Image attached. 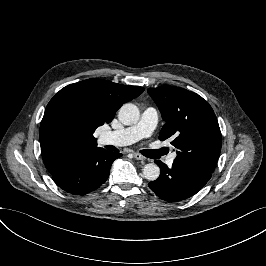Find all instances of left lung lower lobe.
I'll return each mask as SVG.
<instances>
[{"mask_svg": "<svg viewBox=\"0 0 266 266\" xmlns=\"http://www.w3.org/2000/svg\"><path fill=\"white\" fill-rule=\"evenodd\" d=\"M161 174L149 187L160 198L168 202H178L195 195L211 178L210 171L197 165L176 161L171 168L157 160Z\"/></svg>", "mask_w": 266, "mask_h": 266, "instance_id": "obj_1", "label": "left lung lower lobe"}]
</instances>
